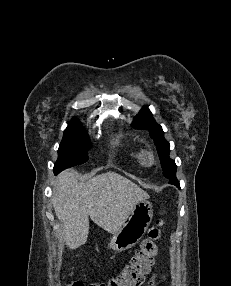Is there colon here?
<instances>
[{"instance_id": "obj_1", "label": "colon", "mask_w": 231, "mask_h": 286, "mask_svg": "<svg viewBox=\"0 0 231 286\" xmlns=\"http://www.w3.org/2000/svg\"><path fill=\"white\" fill-rule=\"evenodd\" d=\"M163 225L162 219L156 221V225L149 230L148 236L142 241L140 248L116 277L105 282L92 284L73 282L68 286H140L154 264L158 253L157 243L162 238Z\"/></svg>"}]
</instances>
